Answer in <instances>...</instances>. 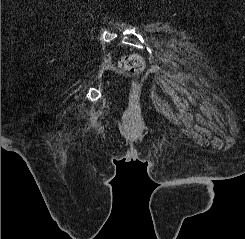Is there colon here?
Masks as SVG:
<instances>
[{"label":"colon","mask_w":245,"mask_h":239,"mask_svg":"<svg viewBox=\"0 0 245 239\" xmlns=\"http://www.w3.org/2000/svg\"><path fill=\"white\" fill-rule=\"evenodd\" d=\"M119 65L121 69L128 72L129 74L138 75L143 70L144 62L141 56L138 54H128L122 57Z\"/></svg>","instance_id":"5ec220e1"}]
</instances>
